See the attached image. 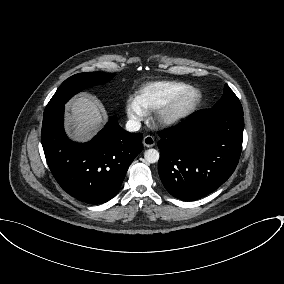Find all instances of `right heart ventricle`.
Masks as SVG:
<instances>
[{"label":"right heart ventricle","mask_w":284,"mask_h":284,"mask_svg":"<svg viewBox=\"0 0 284 284\" xmlns=\"http://www.w3.org/2000/svg\"><path fill=\"white\" fill-rule=\"evenodd\" d=\"M191 86L180 81H155L142 86L136 93L135 99L146 112H153Z\"/></svg>","instance_id":"obj_1"}]
</instances>
